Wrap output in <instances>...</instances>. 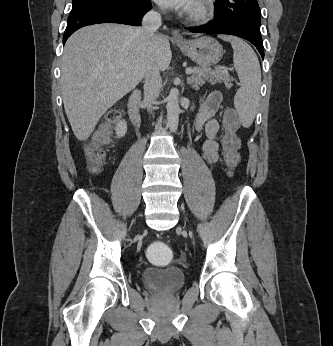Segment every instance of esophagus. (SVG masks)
Wrapping results in <instances>:
<instances>
[{"label": "esophagus", "instance_id": "esophagus-1", "mask_svg": "<svg viewBox=\"0 0 333 346\" xmlns=\"http://www.w3.org/2000/svg\"><path fill=\"white\" fill-rule=\"evenodd\" d=\"M172 39L177 42L184 41L183 36L179 33L177 29H173L171 32Z\"/></svg>", "mask_w": 333, "mask_h": 346}]
</instances>
